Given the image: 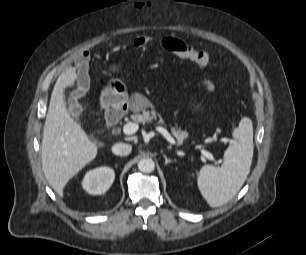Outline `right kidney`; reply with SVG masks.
Returning <instances> with one entry per match:
<instances>
[{"label": "right kidney", "mask_w": 306, "mask_h": 255, "mask_svg": "<svg viewBox=\"0 0 306 255\" xmlns=\"http://www.w3.org/2000/svg\"><path fill=\"white\" fill-rule=\"evenodd\" d=\"M114 179L115 173L112 168L99 167L85 174L82 186L88 193L100 195L104 194L111 187Z\"/></svg>", "instance_id": "obj_1"}]
</instances>
